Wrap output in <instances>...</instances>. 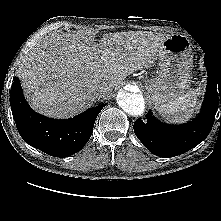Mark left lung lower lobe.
I'll return each instance as SVG.
<instances>
[{"label":"left lung lower lobe","instance_id":"1","mask_svg":"<svg viewBox=\"0 0 221 221\" xmlns=\"http://www.w3.org/2000/svg\"><path fill=\"white\" fill-rule=\"evenodd\" d=\"M208 81L202 110L192 121L182 125H167L156 120L151 111L135 121L133 129L142 144L154 155L174 157L197 146L210 133L218 104H221V80L218 79L205 60Z\"/></svg>","mask_w":221,"mask_h":221}]
</instances>
